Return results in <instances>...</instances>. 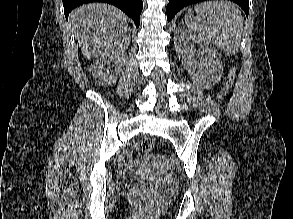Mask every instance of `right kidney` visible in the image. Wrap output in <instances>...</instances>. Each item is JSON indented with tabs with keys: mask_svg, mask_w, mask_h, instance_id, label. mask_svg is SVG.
I'll return each instance as SVG.
<instances>
[{
	"mask_svg": "<svg viewBox=\"0 0 293 219\" xmlns=\"http://www.w3.org/2000/svg\"><path fill=\"white\" fill-rule=\"evenodd\" d=\"M124 55H107L100 57L90 66V73L94 78L95 83L99 85L109 86L114 84L121 74L122 67L124 65ZM108 65L114 66V71H109V68H105Z\"/></svg>",
	"mask_w": 293,
	"mask_h": 219,
	"instance_id": "right-kidney-1",
	"label": "right kidney"
}]
</instances>
